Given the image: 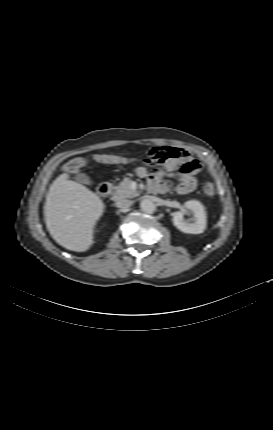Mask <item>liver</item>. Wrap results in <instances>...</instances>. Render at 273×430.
<instances>
[{"instance_id": "6515ba94", "label": "liver", "mask_w": 273, "mask_h": 430, "mask_svg": "<svg viewBox=\"0 0 273 430\" xmlns=\"http://www.w3.org/2000/svg\"><path fill=\"white\" fill-rule=\"evenodd\" d=\"M104 209L99 196L63 173L53 181L46 195V227L59 245L85 252L94 243V228Z\"/></svg>"}]
</instances>
